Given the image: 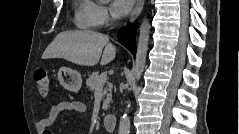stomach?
<instances>
[{
  "mask_svg": "<svg viewBox=\"0 0 239 134\" xmlns=\"http://www.w3.org/2000/svg\"><path fill=\"white\" fill-rule=\"evenodd\" d=\"M62 86L70 91L77 92L82 85V78L79 72L68 67H61L57 74Z\"/></svg>",
  "mask_w": 239,
  "mask_h": 134,
  "instance_id": "0dacf381",
  "label": "stomach"
}]
</instances>
